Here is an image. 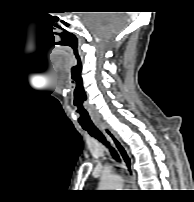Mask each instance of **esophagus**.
Segmentation results:
<instances>
[{"label":"esophagus","instance_id":"obj_1","mask_svg":"<svg viewBox=\"0 0 194 202\" xmlns=\"http://www.w3.org/2000/svg\"><path fill=\"white\" fill-rule=\"evenodd\" d=\"M98 127L104 132V134L107 136V138L114 145L115 149L117 150V152L119 153V155L122 159L125 170L129 177L130 185L135 186L136 185V174L133 169V159H132L128 149L109 127L105 126L104 124H98Z\"/></svg>","mask_w":194,"mask_h":202}]
</instances>
